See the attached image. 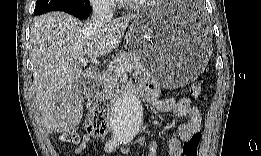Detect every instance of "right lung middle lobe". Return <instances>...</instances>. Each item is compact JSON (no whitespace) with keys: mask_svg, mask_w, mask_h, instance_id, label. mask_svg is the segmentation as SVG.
<instances>
[{"mask_svg":"<svg viewBox=\"0 0 261 156\" xmlns=\"http://www.w3.org/2000/svg\"><path fill=\"white\" fill-rule=\"evenodd\" d=\"M79 5H90L88 0H37L35 14H41L52 10L67 11Z\"/></svg>","mask_w":261,"mask_h":156,"instance_id":"1","label":"right lung middle lobe"}]
</instances>
